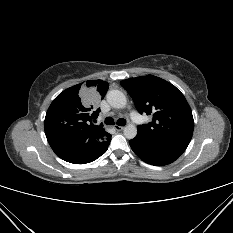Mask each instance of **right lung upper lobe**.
<instances>
[{
	"mask_svg": "<svg viewBox=\"0 0 233 233\" xmlns=\"http://www.w3.org/2000/svg\"><path fill=\"white\" fill-rule=\"evenodd\" d=\"M108 83L88 80L60 93L46 113L44 129L47 140L61 159L75 164H84L99 155L111 140L103 125H94L93 119L100 109L92 111L80 93L97 94L103 99ZM95 121V120H94Z\"/></svg>",
	"mask_w": 233,
	"mask_h": 233,
	"instance_id": "obj_1",
	"label": "right lung upper lobe"
}]
</instances>
